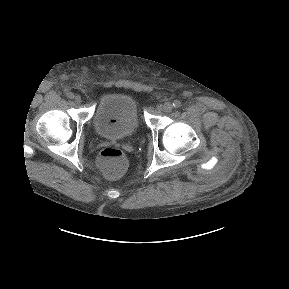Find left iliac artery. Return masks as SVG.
Listing matches in <instances>:
<instances>
[{"mask_svg": "<svg viewBox=\"0 0 289 289\" xmlns=\"http://www.w3.org/2000/svg\"><path fill=\"white\" fill-rule=\"evenodd\" d=\"M180 106H181V101L175 100V101L173 102V107H174V108H179Z\"/></svg>", "mask_w": 289, "mask_h": 289, "instance_id": "obj_1", "label": "left iliac artery"}]
</instances>
